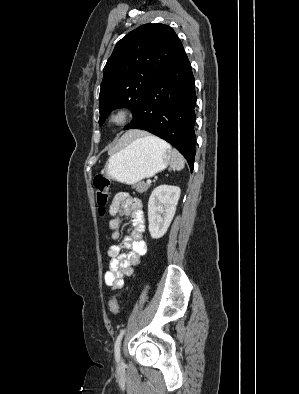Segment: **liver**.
Masks as SVG:
<instances>
[{
  "instance_id": "obj_1",
  "label": "liver",
  "mask_w": 299,
  "mask_h": 394,
  "mask_svg": "<svg viewBox=\"0 0 299 394\" xmlns=\"http://www.w3.org/2000/svg\"><path fill=\"white\" fill-rule=\"evenodd\" d=\"M146 134L144 132L141 131H137V130H132V131H128L127 133H125L123 135V137L121 138V144L122 145H126L127 143H129L130 141L137 139V138H141L144 137Z\"/></svg>"
}]
</instances>
